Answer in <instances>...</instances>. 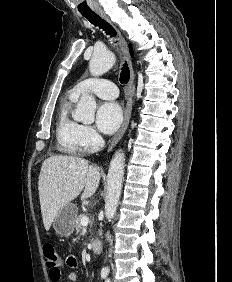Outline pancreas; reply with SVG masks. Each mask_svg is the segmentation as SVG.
<instances>
[{
    "instance_id": "obj_1",
    "label": "pancreas",
    "mask_w": 232,
    "mask_h": 282,
    "mask_svg": "<svg viewBox=\"0 0 232 282\" xmlns=\"http://www.w3.org/2000/svg\"><path fill=\"white\" fill-rule=\"evenodd\" d=\"M85 215L84 214H80L77 218H76V221H75V229H76V232L79 233L82 229V224H81V219L82 217H84Z\"/></svg>"
}]
</instances>
